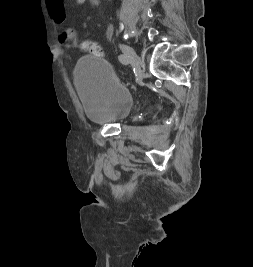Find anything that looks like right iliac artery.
I'll use <instances>...</instances> for the list:
<instances>
[{
	"mask_svg": "<svg viewBox=\"0 0 253 267\" xmlns=\"http://www.w3.org/2000/svg\"><path fill=\"white\" fill-rule=\"evenodd\" d=\"M118 59L124 65H127L130 61L129 57L123 54L119 55Z\"/></svg>",
	"mask_w": 253,
	"mask_h": 267,
	"instance_id": "right-iliac-artery-1",
	"label": "right iliac artery"
}]
</instances>
